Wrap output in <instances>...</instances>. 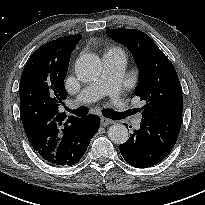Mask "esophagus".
<instances>
[{
	"instance_id": "34e87169",
	"label": "esophagus",
	"mask_w": 205,
	"mask_h": 205,
	"mask_svg": "<svg viewBox=\"0 0 205 205\" xmlns=\"http://www.w3.org/2000/svg\"><path fill=\"white\" fill-rule=\"evenodd\" d=\"M100 123H101V125H103V126H107V125L112 124L113 121L110 120V119H108V118L101 117V119H100Z\"/></svg>"
}]
</instances>
